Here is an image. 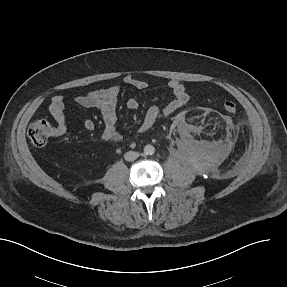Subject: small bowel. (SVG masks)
<instances>
[{
	"label": "small bowel",
	"instance_id": "1",
	"mask_svg": "<svg viewBox=\"0 0 287 287\" xmlns=\"http://www.w3.org/2000/svg\"><path fill=\"white\" fill-rule=\"evenodd\" d=\"M123 85L131 86L139 90H143L148 86L147 83L141 79L125 76L121 84L93 90L74 98V102L77 105L86 108H95L100 111L104 123L102 139L107 142H120L123 139L122 134L117 130L118 98ZM167 86L172 93V99L164 107L151 106L146 111L138 126L140 132L148 131L159 118L173 114L188 102L189 95L180 80L172 79L168 82ZM126 106L130 110H136L139 107V102L134 98H130L127 100ZM48 108L56 122L54 129L55 134H64L66 132L67 123L64 97L61 95L54 96ZM84 127L92 131L95 128V123L91 119H87L84 121Z\"/></svg>",
	"mask_w": 287,
	"mask_h": 287
}]
</instances>
